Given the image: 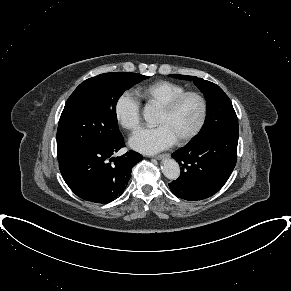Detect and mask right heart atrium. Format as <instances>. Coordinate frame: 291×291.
Masks as SVG:
<instances>
[{
  "label": "right heart atrium",
  "mask_w": 291,
  "mask_h": 291,
  "mask_svg": "<svg viewBox=\"0 0 291 291\" xmlns=\"http://www.w3.org/2000/svg\"><path fill=\"white\" fill-rule=\"evenodd\" d=\"M114 113L121 127L136 132L141 126V103L130 91L123 92L116 100Z\"/></svg>",
  "instance_id": "1"
}]
</instances>
